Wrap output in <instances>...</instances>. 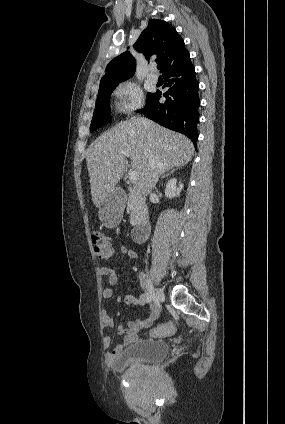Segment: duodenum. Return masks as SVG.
<instances>
[{"label":"duodenum","mask_w":285,"mask_h":424,"mask_svg":"<svg viewBox=\"0 0 285 424\" xmlns=\"http://www.w3.org/2000/svg\"><path fill=\"white\" fill-rule=\"evenodd\" d=\"M150 222L149 221H142L139 223L133 232V240L137 244L144 243L150 232Z\"/></svg>","instance_id":"410a0bca"}]
</instances>
